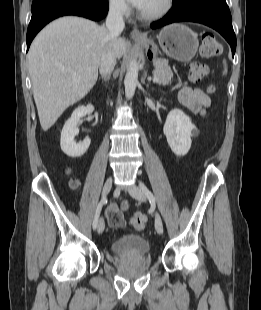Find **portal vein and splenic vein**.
<instances>
[{"label":"portal vein and splenic vein","instance_id":"obj_1","mask_svg":"<svg viewBox=\"0 0 261 310\" xmlns=\"http://www.w3.org/2000/svg\"><path fill=\"white\" fill-rule=\"evenodd\" d=\"M153 82H154V83H158V82H159V78L154 77V78H153Z\"/></svg>","mask_w":261,"mask_h":310}]
</instances>
